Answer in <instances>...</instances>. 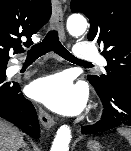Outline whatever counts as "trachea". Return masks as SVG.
Returning <instances> with one entry per match:
<instances>
[{
    "label": "trachea",
    "mask_w": 131,
    "mask_h": 151,
    "mask_svg": "<svg viewBox=\"0 0 131 151\" xmlns=\"http://www.w3.org/2000/svg\"><path fill=\"white\" fill-rule=\"evenodd\" d=\"M50 51H54L56 54H58L59 56L63 57L64 59L70 62H77V63L91 65V63L82 61L76 58L74 55H72L59 41L58 32L56 30L49 31L42 42L34 45L27 52V59L36 60L37 58L45 55Z\"/></svg>",
    "instance_id": "obj_1"
}]
</instances>
